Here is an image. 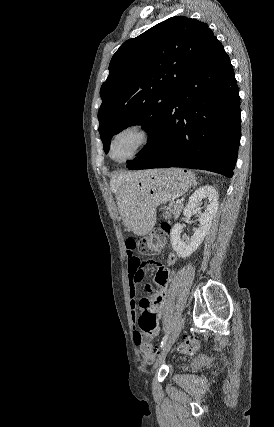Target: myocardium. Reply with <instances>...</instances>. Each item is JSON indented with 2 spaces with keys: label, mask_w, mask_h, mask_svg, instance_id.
I'll return each instance as SVG.
<instances>
[{
  "label": "myocardium",
  "mask_w": 274,
  "mask_h": 427,
  "mask_svg": "<svg viewBox=\"0 0 274 427\" xmlns=\"http://www.w3.org/2000/svg\"><path fill=\"white\" fill-rule=\"evenodd\" d=\"M126 131L135 132L138 135L139 141L135 151L129 158L123 161H116L114 160L111 154L113 141L119 134ZM152 141H153V132L145 123L139 122V121L131 122L121 126L110 136L108 141V146H107V154H108V157L116 164H126L134 160L135 158H137L151 144Z\"/></svg>",
  "instance_id": "myocardium-1"
}]
</instances>
